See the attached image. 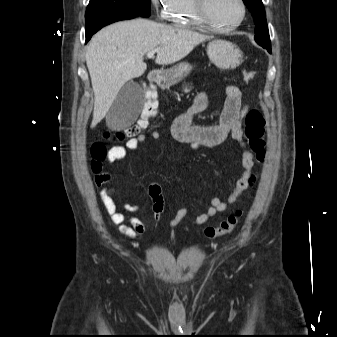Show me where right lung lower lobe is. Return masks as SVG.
I'll list each match as a JSON object with an SVG mask.
<instances>
[{
    "mask_svg": "<svg viewBox=\"0 0 337 337\" xmlns=\"http://www.w3.org/2000/svg\"><path fill=\"white\" fill-rule=\"evenodd\" d=\"M138 17V15L127 14V13H110L98 16L86 22L85 34L86 43L90 40L92 35L100 30L102 27L111 24L116 21L132 19Z\"/></svg>",
    "mask_w": 337,
    "mask_h": 337,
    "instance_id": "1",
    "label": "right lung lower lobe"
}]
</instances>
